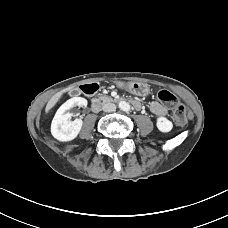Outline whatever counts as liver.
<instances>
[{
    "mask_svg": "<svg viewBox=\"0 0 228 228\" xmlns=\"http://www.w3.org/2000/svg\"><path fill=\"white\" fill-rule=\"evenodd\" d=\"M62 93L59 92L57 94H55L51 100L48 102L47 106H46V113L49 112V110L56 104V102L59 100V98L61 97Z\"/></svg>",
    "mask_w": 228,
    "mask_h": 228,
    "instance_id": "obj_1",
    "label": "liver"
}]
</instances>
